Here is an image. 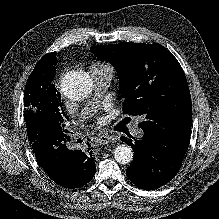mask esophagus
<instances>
[{
	"mask_svg": "<svg viewBox=\"0 0 219 219\" xmlns=\"http://www.w3.org/2000/svg\"><path fill=\"white\" fill-rule=\"evenodd\" d=\"M97 139L100 144H108L110 142H113L115 138L107 133H99L97 135Z\"/></svg>",
	"mask_w": 219,
	"mask_h": 219,
	"instance_id": "obj_1",
	"label": "esophagus"
}]
</instances>
